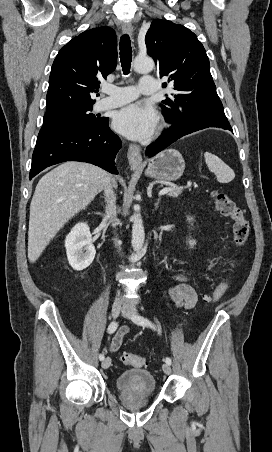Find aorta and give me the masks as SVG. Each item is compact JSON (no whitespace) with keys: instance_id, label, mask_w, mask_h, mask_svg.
Returning a JSON list of instances; mask_svg holds the SVG:
<instances>
[{"instance_id":"aorta-1","label":"aorta","mask_w":272,"mask_h":452,"mask_svg":"<svg viewBox=\"0 0 272 452\" xmlns=\"http://www.w3.org/2000/svg\"><path fill=\"white\" fill-rule=\"evenodd\" d=\"M154 66V61L149 57H137L134 60V69L139 73H149L153 70ZM131 219L133 222L131 243L133 250L138 253L141 250L145 239L143 221L138 212H134Z\"/></svg>"}]
</instances>
